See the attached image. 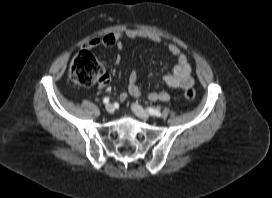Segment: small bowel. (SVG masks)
<instances>
[{
	"mask_svg": "<svg viewBox=\"0 0 272 198\" xmlns=\"http://www.w3.org/2000/svg\"><path fill=\"white\" fill-rule=\"evenodd\" d=\"M123 39H147L155 43L164 44L168 51L175 56L177 60V64L173 67V69L164 75V83L169 87L180 89H188L193 86L194 81L191 77V67L188 63L186 55L178 46L165 42L155 33L128 28L123 31L111 32L105 35L103 38H94L85 44V48L94 49L99 46H115L118 50H122L124 48ZM120 61L121 56L117 55L114 59L115 64H119ZM108 84L109 76L105 75L100 80L98 87L103 89ZM128 95L133 97H139L141 95V87L138 84L137 75L134 71H132L129 75L128 92H122L120 94V100L125 101ZM148 99L152 102H168L170 100V94L166 91L150 92L148 94Z\"/></svg>",
	"mask_w": 272,
	"mask_h": 198,
	"instance_id": "1",
	"label": "small bowel"
}]
</instances>
